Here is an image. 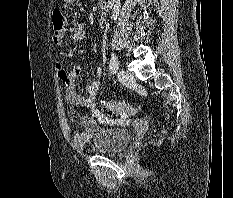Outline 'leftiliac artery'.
Segmentation results:
<instances>
[{
	"mask_svg": "<svg viewBox=\"0 0 233 198\" xmlns=\"http://www.w3.org/2000/svg\"><path fill=\"white\" fill-rule=\"evenodd\" d=\"M119 69V61L118 57L116 56L115 53L111 54V60H110V65H109V70L111 73H116Z\"/></svg>",
	"mask_w": 233,
	"mask_h": 198,
	"instance_id": "1",
	"label": "left iliac artery"
}]
</instances>
